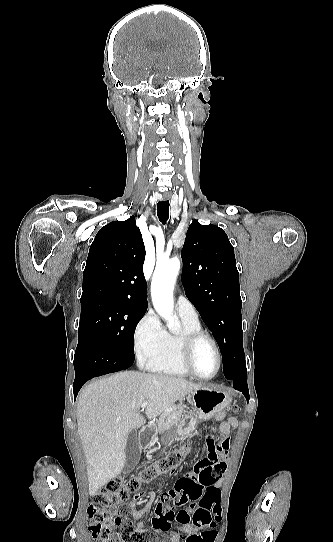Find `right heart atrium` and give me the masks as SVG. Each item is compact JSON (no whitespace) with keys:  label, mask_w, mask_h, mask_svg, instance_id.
Here are the masks:
<instances>
[{"label":"right heart atrium","mask_w":333,"mask_h":542,"mask_svg":"<svg viewBox=\"0 0 333 542\" xmlns=\"http://www.w3.org/2000/svg\"><path fill=\"white\" fill-rule=\"evenodd\" d=\"M166 331L153 312H147L138 322L134 330L135 349L142 353L148 348L160 345L165 338Z\"/></svg>","instance_id":"obj_1"}]
</instances>
